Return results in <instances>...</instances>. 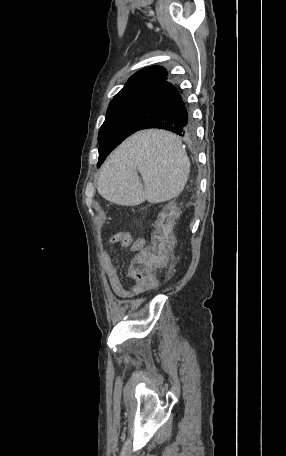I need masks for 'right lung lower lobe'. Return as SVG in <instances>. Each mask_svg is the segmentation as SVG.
<instances>
[{
  "mask_svg": "<svg viewBox=\"0 0 286 456\" xmlns=\"http://www.w3.org/2000/svg\"><path fill=\"white\" fill-rule=\"evenodd\" d=\"M122 99L131 134L145 128H163L183 137L193 131L186 104L179 91L166 80L138 88Z\"/></svg>",
  "mask_w": 286,
  "mask_h": 456,
  "instance_id": "obj_1",
  "label": "right lung lower lobe"
}]
</instances>
